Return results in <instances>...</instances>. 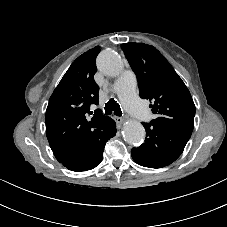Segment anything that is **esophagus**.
<instances>
[{
  "label": "esophagus",
  "mask_w": 227,
  "mask_h": 227,
  "mask_svg": "<svg viewBox=\"0 0 227 227\" xmlns=\"http://www.w3.org/2000/svg\"><path fill=\"white\" fill-rule=\"evenodd\" d=\"M115 121L118 125H122L124 123V119L122 117H115Z\"/></svg>",
  "instance_id": "obj_1"
}]
</instances>
